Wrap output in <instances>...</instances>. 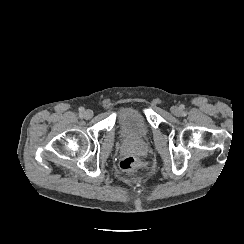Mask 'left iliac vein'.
I'll list each match as a JSON object with an SVG mask.
<instances>
[{
	"mask_svg": "<svg viewBox=\"0 0 244 244\" xmlns=\"http://www.w3.org/2000/svg\"><path fill=\"white\" fill-rule=\"evenodd\" d=\"M171 112L175 115V116H180L182 114L181 109L177 106H172L171 107Z\"/></svg>",
	"mask_w": 244,
	"mask_h": 244,
	"instance_id": "left-iliac-vein-1",
	"label": "left iliac vein"
}]
</instances>
